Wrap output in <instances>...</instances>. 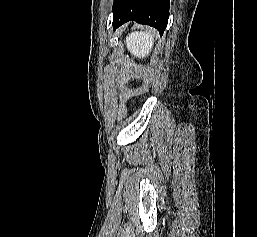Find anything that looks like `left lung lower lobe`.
I'll use <instances>...</instances> for the list:
<instances>
[{"label":"left lung lower lobe","mask_w":257,"mask_h":237,"mask_svg":"<svg viewBox=\"0 0 257 237\" xmlns=\"http://www.w3.org/2000/svg\"><path fill=\"white\" fill-rule=\"evenodd\" d=\"M169 17V0H114V30L134 20L156 28L160 35L166 29Z\"/></svg>","instance_id":"1"}]
</instances>
